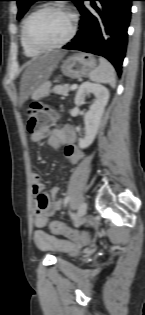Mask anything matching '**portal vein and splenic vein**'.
<instances>
[{"mask_svg": "<svg viewBox=\"0 0 145 315\" xmlns=\"http://www.w3.org/2000/svg\"><path fill=\"white\" fill-rule=\"evenodd\" d=\"M76 88H77V85H76V84H74V85H72V86L70 87L71 90H74V89H76Z\"/></svg>", "mask_w": 145, "mask_h": 315, "instance_id": "portal-vein-and-splenic-vein-1", "label": "portal vein and splenic vein"}]
</instances>
